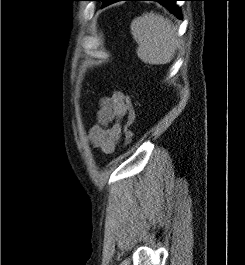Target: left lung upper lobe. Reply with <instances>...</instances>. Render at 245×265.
Wrapping results in <instances>:
<instances>
[{"instance_id": "left-lung-upper-lobe-1", "label": "left lung upper lobe", "mask_w": 245, "mask_h": 265, "mask_svg": "<svg viewBox=\"0 0 245 265\" xmlns=\"http://www.w3.org/2000/svg\"><path fill=\"white\" fill-rule=\"evenodd\" d=\"M96 1H103L104 2L105 0H96Z\"/></svg>"}]
</instances>
